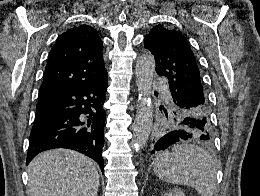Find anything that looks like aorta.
Wrapping results in <instances>:
<instances>
[{"mask_svg":"<svg viewBox=\"0 0 260 196\" xmlns=\"http://www.w3.org/2000/svg\"><path fill=\"white\" fill-rule=\"evenodd\" d=\"M155 60L151 54L141 55L135 67L136 84L138 87V104L136 119L133 123L132 147L136 151L144 148L153 124V106L151 90Z\"/></svg>","mask_w":260,"mask_h":196,"instance_id":"762f6f07","label":"aorta"}]
</instances>
